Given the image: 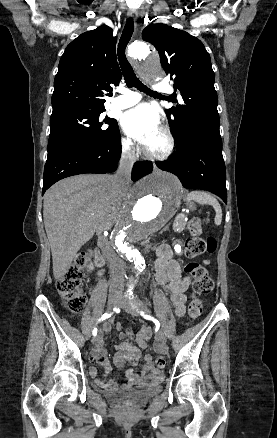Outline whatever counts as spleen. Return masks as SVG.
<instances>
[{
  "instance_id": "1",
  "label": "spleen",
  "mask_w": 277,
  "mask_h": 438,
  "mask_svg": "<svg viewBox=\"0 0 277 438\" xmlns=\"http://www.w3.org/2000/svg\"><path fill=\"white\" fill-rule=\"evenodd\" d=\"M187 200H194V202H198V204H209V206H213L216 212L214 224L220 226L222 222V210L216 198H213L210 194H206V192H190L187 196Z\"/></svg>"
}]
</instances>
